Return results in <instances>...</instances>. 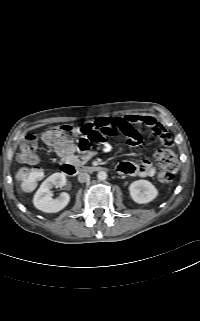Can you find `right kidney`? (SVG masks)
<instances>
[{"label": "right kidney", "instance_id": "1", "mask_svg": "<svg viewBox=\"0 0 200 321\" xmlns=\"http://www.w3.org/2000/svg\"><path fill=\"white\" fill-rule=\"evenodd\" d=\"M66 184V177L63 173H54L49 176L39 187L33 198L34 206L46 213H56L64 209L69 201L68 193H61L59 197L53 198L52 187H62Z\"/></svg>", "mask_w": 200, "mask_h": 321}]
</instances>
